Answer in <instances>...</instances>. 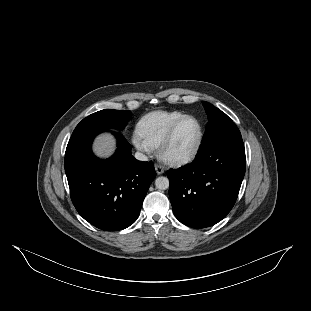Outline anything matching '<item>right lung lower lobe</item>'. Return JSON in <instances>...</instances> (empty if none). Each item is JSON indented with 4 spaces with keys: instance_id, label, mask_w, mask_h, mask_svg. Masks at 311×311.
<instances>
[{
    "instance_id": "98d812e1",
    "label": "right lung lower lobe",
    "mask_w": 311,
    "mask_h": 311,
    "mask_svg": "<svg viewBox=\"0 0 311 311\" xmlns=\"http://www.w3.org/2000/svg\"><path fill=\"white\" fill-rule=\"evenodd\" d=\"M104 131L108 129L72 134L65 153V172L78 213L99 229L117 231L138 218L156 172L151 161L140 162L132 156L131 145L120 133L115 154L106 160L96 158L91 144Z\"/></svg>"
}]
</instances>
